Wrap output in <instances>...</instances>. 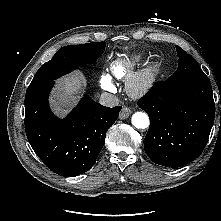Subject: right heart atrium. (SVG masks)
Returning <instances> with one entry per match:
<instances>
[{"label": "right heart atrium", "mask_w": 221, "mask_h": 221, "mask_svg": "<svg viewBox=\"0 0 221 221\" xmlns=\"http://www.w3.org/2000/svg\"><path fill=\"white\" fill-rule=\"evenodd\" d=\"M101 87L108 92L115 91V86L113 84L112 78L108 73H102L99 79Z\"/></svg>", "instance_id": "obj_1"}]
</instances>
